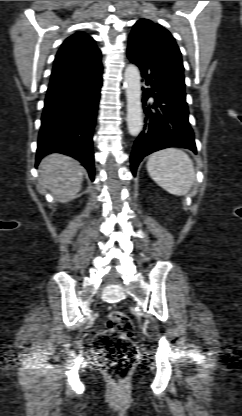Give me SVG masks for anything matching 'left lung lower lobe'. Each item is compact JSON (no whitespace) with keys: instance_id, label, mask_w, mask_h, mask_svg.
<instances>
[{"instance_id":"0a47b994","label":"left lung lower lobe","mask_w":242,"mask_h":416,"mask_svg":"<svg viewBox=\"0 0 242 416\" xmlns=\"http://www.w3.org/2000/svg\"><path fill=\"white\" fill-rule=\"evenodd\" d=\"M127 56L139 67L147 86L142 88L144 127L130 157L135 176L139 163L150 153L167 147L187 148L196 153V145L188 120L185 86L172 77L162 62L133 43L128 44Z\"/></svg>"}]
</instances>
